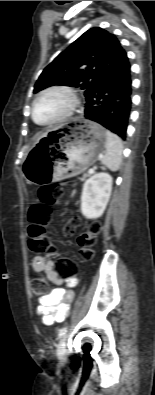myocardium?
Here are the masks:
<instances>
[{
    "mask_svg": "<svg viewBox=\"0 0 155 395\" xmlns=\"http://www.w3.org/2000/svg\"><path fill=\"white\" fill-rule=\"evenodd\" d=\"M52 93H60V94H63L64 96H66L68 99V105H67L66 109L64 110V112L62 114H60L58 117H56L55 119H53L49 122H46V123H39L36 121L35 116H34L36 104L42 97H44L48 94H52ZM79 103H80V101H79L78 95L73 88H71L69 86H65V85L50 86V87H47V88L41 90L33 99L32 103H31V107H30V117H31L32 121L38 126H41V127L56 126L58 124H61L65 121L69 120L76 112V110L79 106Z\"/></svg>",
    "mask_w": 155,
    "mask_h": 395,
    "instance_id": "1",
    "label": "myocardium"
}]
</instances>
